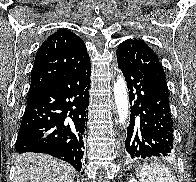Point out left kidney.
Returning a JSON list of instances; mask_svg holds the SVG:
<instances>
[{
    "label": "left kidney",
    "mask_w": 196,
    "mask_h": 182,
    "mask_svg": "<svg viewBox=\"0 0 196 182\" xmlns=\"http://www.w3.org/2000/svg\"><path fill=\"white\" fill-rule=\"evenodd\" d=\"M129 182H138L136 179L132 178Z\"/></svg>",
    "instance_id": "obj_1"
}]
</instances>
